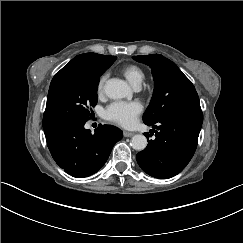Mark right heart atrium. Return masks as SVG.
Returning a JSON list of instances; mask_svg holds the SVG:
<instances>
[{"label": "right heart atrium", "mask_w": 243, "mask_h": 243, "mask_svg": "<svg viewBox=\"0 0 243 243\" xmlns=\"http://www.w3.org/2000/svg\"><path fill=\"white\" fill-rule=\"evenodd\" d=\"M109 75H110L109 71H105L99 76L97 83H96L97 96L101 97L104 94L105 84H106L107 79L109 78Z\"/></svg>", "instance_id": "d8ad5b80"}]
</instances>
